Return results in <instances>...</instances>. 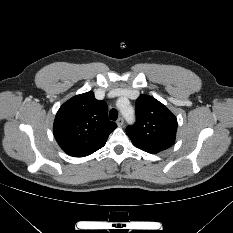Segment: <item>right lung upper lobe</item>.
<instances>
[{
	"mask_svg": "<svg viewBox=\"0 0 233 233\" xmlns=\"http://www.w3.org/2000/svg\"><path fill=\"white\" fill-rule=\"evenodd\" d=\"M117 127L107 116V104L93 92L74 96L58 110L53 132L70 156L85 157L102 148Z\"/></svg>",
	"mask_w": 233,
	"mask_h": 233,
	"instance_id": "right-lung-upper-lobe-1",
	"label": "right lung upper lobe"
}]
</instances>
